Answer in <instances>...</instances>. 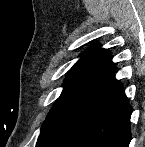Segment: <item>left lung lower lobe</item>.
Here are the masks:
<instances>
[{
    "instance_id": "obj_1",
    "label": "left lung lower lobe",
    "mask_w": 145,
    "mask_h": 147,
    "mask_svg": "<svg viewBox=\"0 0 145 147\" xmlns=\"http://www.w3.org/2000/svg\"><path fill=\"white\" fill-rule=\"evenodd\" d=\"M111 58L89 87L66 130L44 147H128L132 108L122 84L115 79Z\"/></svg>"
}]
</instances>
